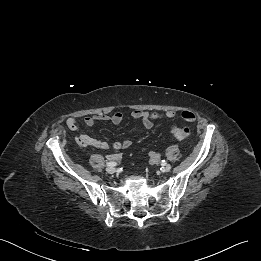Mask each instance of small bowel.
Returning a JSON list of instances; mask_svg holds the SVG:
<instances>
[{"instance_id":"1","label":"small bowel","mask_w":261,"mask_h":261,"mask_svg":"<svg viewBox=\"0 0 261 261\" xmlns=\"http://www.w3.org/2000/svg\"><path fill=\"white\" fill-rule=\"evenodd\" d=\"M176 111L174 110H166L164 112H149L144 110H134L131 113V117L134 120L140 121L145 129H152L154 126V121L160 119H170L176 116ZM123 114L121 112H115L112 114L108 113H97L93 115H88L84 118V123L87 126H92L98 121H110L115 125H119L123 121ZM181 118L186 122H193L196 119V115L189 110H185L181 113ZM67 126L73 130L77 131L76 141L79 145L83 147H94L98 149H108L109 143L105 140L93 137L79 130L77 123L74 119L67 120ZM132 142L129 139H125L123 141H117L113 144V148L115 150L126 149L131 146ZM151 159L155 161L157 159V155L153 152L150 153ZM113 158H120L119 155H114Z\"/></svg>"}]
</instances>
